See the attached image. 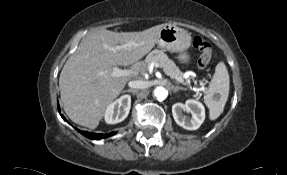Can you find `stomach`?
Listing matches in <instances>:
<instances>
[{
	"mask_svg": "<svg viewBox=\"0 0 287 175\" xmlns=\"http://www.w3.org/2000/svg\"><path fill=\"white\" fill-rule=\"evenodd\" d=\"M157 44L164 50L177 53L181 63L190 62L187 50L191 45V36L185 29L166 24L158 34Z\"/></svg>",
	"mask_w": 287,
	"mask_h": 175,
	"instance_id": "1",
	"label": "stomach"
}]
</instances>
